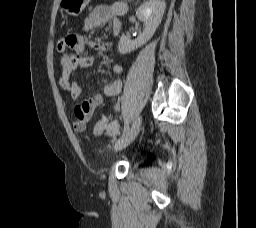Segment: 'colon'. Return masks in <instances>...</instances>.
I'll use <instances>...</instances> for the list:
<instances>
[{
    "instance_id": "obj_1",
    "label": "colon",
    "mask_w": 256,
    "mask_h": 228,
    "mask_svg": "<svg viewBox=\"0 0 256 228\" xmlns=\"http://www.w3.org/2000/svg\"><path fill=\"white\" fill-rule=\"evenodd\" d=\"M58 45L59 47H61L63 45V38H61L58 41ZM110 124V121L108 118L106 117H102L101 119H99L95 126H94V133L99 135L101 133H103L105 130H107L108 125Z\"/></svg>"
}]
</instances>
